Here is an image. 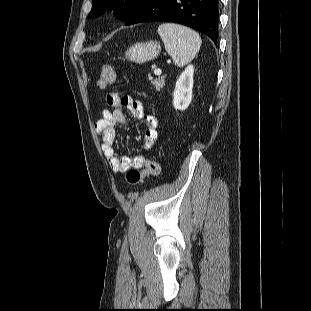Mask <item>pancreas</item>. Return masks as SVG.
Returning <instances> with one entry per match:
<instances>
[{
    "label": "pancreas",
    "instance_id": "1",
    "mask_svg": "<svg viewBox=\"0 0 311 311\" xmlns=\"http://www.w3.org/2000/svg\"><path fill=\"white\" fill-rule=\"evenodd\" d=\"M164 84L165 82L163 78L154 79L152 81V85L155 87L156 91H160L163 88Z\"/></svg>",
    "mask_w": 311,
    "mask_h": 311
}]
</instances>
